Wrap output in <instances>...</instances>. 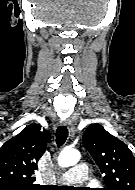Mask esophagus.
I'll use <instances>...</instances> for the list:
<instances>
[{
	"instance_id": "esophagus-1",
	"label": "esophagus",
	"mask_w": 135,
	"mask_h": 190,
	"mask_svg": "<svg viewBox=\"0 0 135 190\" xmlns=\"http://www.w3.org/2000/svg\"><path fill=\"white\" fill-rule=\"evenodd\" d=\"M64 125L68 127L70 136H74L75 127H74L73 122L70 119H67L64 121Z\"/></svg>"
}]
</instances>
